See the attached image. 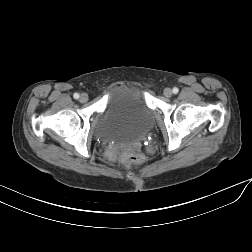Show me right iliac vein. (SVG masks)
Segmentation results:
<instances>
[{
	"instance_id": "right-iliac-vein-1",
	"label": "right iliac vein",
	"mask_w": 252,
	"mask_h": 252,
	"mask_svg": "<svg viewBox=\"0 0 252 252\" xmlns=\"http://www.w3.org/2000/svg\"><path fill=\"white\" fill-rule=\"evenodd\" d=\"M88 101V95L86 93H82L80 96V102L85 103Z\"/></svg>"
}]
</instances>
